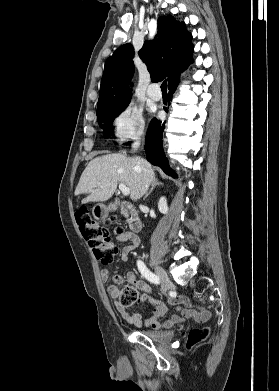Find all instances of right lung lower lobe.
<instances>
[{
  "mask_svg": "<svg viewBox=\"0 0 279 391\" xmlns=\"http://www.w3.org/2000/svg\"><path fill=\"white\" fill-rule=\"evenodd\" d=\"M179 80L169 87V100H171L173 93L175 92ZM165 123L157 119H152L146 134L145 152L147 160L153 165L159 166L163 171L177 177L173 170H170L167 159L165 158L162 145V137Z\"/></svg>",
  "mask_w": 279,
  "mask_h": 391,
  "instance_id": "obj_1",
  "label": "right lung lower lobe"
}]
</instances>
